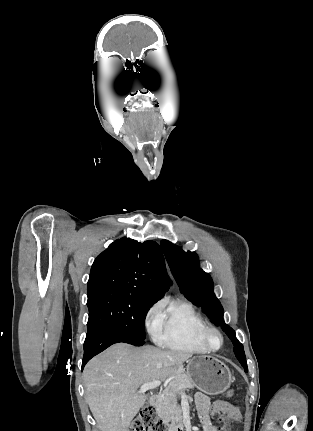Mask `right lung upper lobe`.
<instances>
[{
	"mask_svg": "<svg viewBox=\"0 0 313 431\" xmlns=\"http://www.w3.org/2000/svg\"><path fill=\"white\" fill-rule=\"evenodd\" d=\"M160 246L122 238L114 241L94 261L87 283L88 297L104 291H128L159 300L169 288Z\"/></svg>",
	"mask_w": 313,
	"mask_h": 431,
	"instance_id": "1",
	"label": "right lung upper lobe"
}]
</instances>
